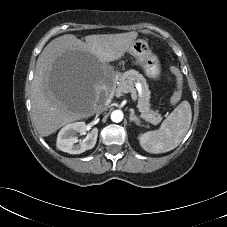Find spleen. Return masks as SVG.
Instances as JSON below:
<instances>
[{"label": "spleen", "mask_w": 227, "mask_h": 227, "mask_svg": "<svg viewBox=\"0 0 227 227\" xmlns=\"http://www.w3.org/2000/svg\"><path fill=\"white\" fill-rule=\"evenodd\" d=\"M191 120V106L188 101H182L158 130L148 131L139 137L141 147L153 154L175 149L188 132Z\"/></svg>", "instance_id": "obj_1"}]
</instances>
